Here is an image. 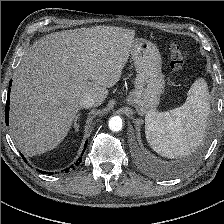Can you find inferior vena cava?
<instances>
[{"label":"inferior vena cava","mask_w":224,"mask_h":224,"mask_svg":"<svg viewBox=\"0 0 224 224\" xmlns=\"http://www.w3.org/2000/svg\"><path fill=\"white\" fill-rule=\"evenodd\" d=\"M79 105H80L81 108H86L87 109V108L96 106V101L92 96L86 95V96H83L79 100Z\"/></svg>","instance_id":"inferior-vena-cava-1"}]
</instances>
